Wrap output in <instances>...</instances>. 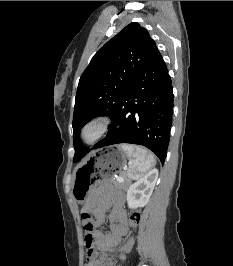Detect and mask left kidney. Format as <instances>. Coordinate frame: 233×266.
<instances>
[{"label": "left kidney", "instance_id": "obj_1", "mask_svg": "<svg viewBox=\"0 0 233 266\" xmlns=\"http://www.w3.org/2000/svg\"><path fill=\"white\" fill-rule=\"evenodd\" d=\"M158 178V170L149 171L144 177L130 184L127 190V203L129 208L144 207L154 190Z\"/></svg>", "mask_w": 233, "mask_h": 266}]
</instances>
